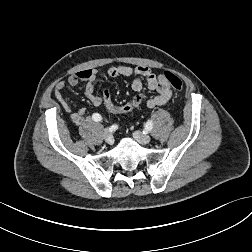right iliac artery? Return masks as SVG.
<instances>
[{"label":"right iliac artery","mask_w":252,"mask_h":252,"mask_svg":"<svg viewBox=\"0 0 252 252\" xmlns=\"http://www.w3.org/2000/svg\"><path fill=\"white\" fill-rule=\"evenodd\" d=\"M92 119H93L94 121H96V122H99V121L102 120V117H101L100 114L94 113V114L92 115ZM115 125H116V124H115Z\"/></svg>","instance_id":"1"}]
</instances>
